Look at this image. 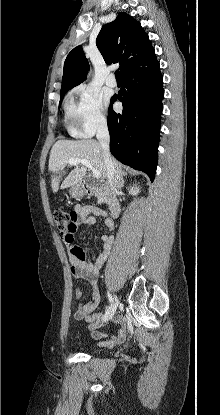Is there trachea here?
<instances>
[{
    "mask_svg": "<svg viewBox=\"0 0 220 415\" xmlns=\"http://www.w3.org/2000/svg\"><path fill=\"white\" fill-rule=\"evenodd\" d=\"M115 77L116 79H122L120 71H115Z\"/></svg>",
    "mask_w": 220,
    "mask_h": 415,
    "instance_id": "1",
    "label": "trachea"
}]
</instances>
